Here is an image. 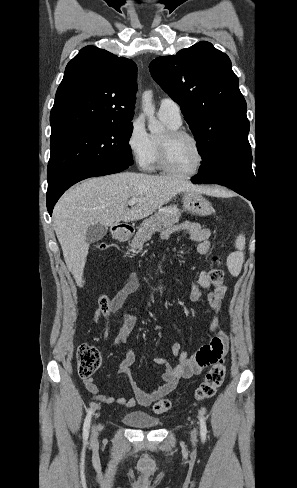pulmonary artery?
<instances>
[{
    "label": "pulmonary artery",
    "instance_id": "e3ab8cb5",
    "mask_svg": "<svg viewBox=\"0 0 297 488\" xmlns=\"http://www.w3.org/2000/svg\"><path fill=\"white\" fill-rule=\"evenodd\" d=\"M158 114L161 119L173 125L180 126L182 123L180 106L171 98H163L160 101Z\"/></svg>",
    "mask_w": 297,
    "mask_h": 488
}]
</instances>
